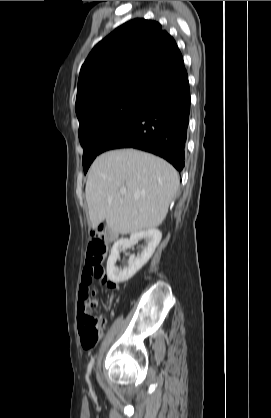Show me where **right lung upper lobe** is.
I'll list each match as a JSON object with an SVG mask.
<instances>
[{
  "label": "right lung upper lobe",
  "mask_w": 271,
  "mask_h": 418,
  "mask_svg": "<svg viewBox=\"0 0 271 418\" xmlns=\"http://www.w3.org/2000/svg\"><path fill=\"white\" fill-rule=\"evenodd\" d=\"M184 71L175 40L158 22L131 20L100 41L82 65L76 113L122 94L152 99Z\"/></svg>",
  "instance_id": "obj_1"
}]
</instances>
